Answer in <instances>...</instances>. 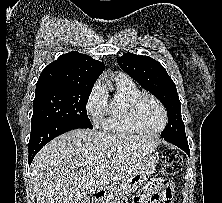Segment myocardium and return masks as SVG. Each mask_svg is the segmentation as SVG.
I'll return each instance as SVG.
<instances>
[{"instance_id":"obj_1","label":"myocardium","mask_w":222,"mask_h":203,"mask_svg":"<svg viewBox=\"0 0 222 203\" xmlns=\"http://www.w3.org/2000/svg\"><path fill=\"white\" fill-rule=\"evenodd\" d=\"M146 99H150V100L154 101L162 110L164 121H163L162 126L157 130H150V129L145 128L139 119V114H138L139 107H140L141 103ZM128 112H129V117H130L132 124L143 133L156 135V134L161 133L167 127V124H168L167 109L164 106V104L157 97H155L153 95L140 94L137 97H135L129 104Z\"/></svg>"}]
</instances>
